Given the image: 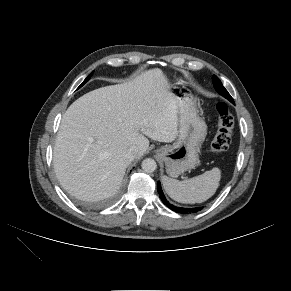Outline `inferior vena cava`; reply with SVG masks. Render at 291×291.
<instances>
[{
  "label": "inferior vena cava",
  "instance_id": "inferior-vena-cava-1",
  "mask_svg": "<svg viewBox=\"0 0 291 291\" xmlns=\"http://www.w3.org/2000/svg\"><path fill=\"white\" fill-rule=\"evenodd\" d=\"M137 152V148L135 146L129 148L128 150H126L124 157L129 160L132 161L135 158V154Z\"/></svg>",
  "mask_w": 291,
  "mask_h": 291
}]
</instances>
